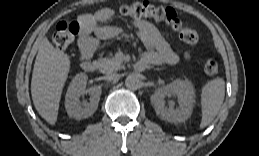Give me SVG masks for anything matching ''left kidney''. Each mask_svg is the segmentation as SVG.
Instances as JSON below:
<instances>
[{"label": "left kidney", "mask_w": 259, "mask_h": 156, "mask_svg": "<svg viewBox=\"0 0 259 156\" xmlns=\"http://www.w3.org/2000/svg\"><path fill=\"white\" fill-rule=\"evenodd\" d=\"M176 95L179 106L166 107L165 97ZM195 101V91L191 81L177 79L165 87L157 89L151 96L155 112L163 119L180 123L186 121L192 114Z\"/></svg>", "instance_id": "5707ae66"}]
</instances>
